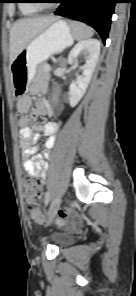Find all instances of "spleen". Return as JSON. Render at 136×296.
I'll return each mask as SVG.
<instances>
[{
	"instance_id": "3e777b00",
	"label": "spleen",
	"mask_w": 136,
	"mask_h": 296,
	"mask_svg": "<svg viewBox=\"0 0 136 296\" xmlns=\"http://www.w3.org/2000/svg\"><path fill=\"white\" fill-rule=\"evenodd\" d=\"M71 28L76 40L90 38L94 34L91 27L81 22H77V21L72 22Z\"/></svg>"
}]
</instances>
